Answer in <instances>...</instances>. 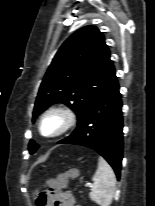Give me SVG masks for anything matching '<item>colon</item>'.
I'll list each match as a JSON object with an SVG mask.
<instances>
[{"mask_svg":"<svg viewBox=\"0 0 155 206\" xmlns=\"http://www.w3.org/2000/svg\"><path fill=\"white\" fill-rule=\"evenodd\" d=\"M66 181H67V176L65 174H60L55 179L47 180L46 185L50 189H58V188H62ZM45 201H46L45 193H40L38 198H37L38 206H42L45 203Z\"/></svg>","mask_w":155,"mask_h":206,"instance_id":"1","label":"colon"}]
</instances>
